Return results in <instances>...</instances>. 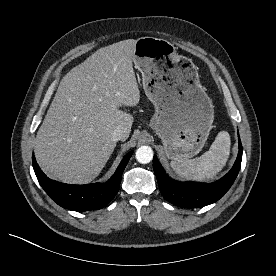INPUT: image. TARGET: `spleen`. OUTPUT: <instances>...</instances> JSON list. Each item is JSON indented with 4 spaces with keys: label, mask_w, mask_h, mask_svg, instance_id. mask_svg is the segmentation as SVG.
<instances>
[{
    "label": "spleen",
    "mask_w": 276,
    "mask_h": 276,
    "mask_svg": "<svg viewBox=\"0 0 276 276\" xmlns=\"http://www.w3.org/2000/svg\"><path fill=\"white\" fill-rule=\"evenodd\" d=\"M230 135L221 131L210 149L200 157L190 160H173L170 165L181 177L193 180L213 178L226 164L230 154Z\"/></svg>",
    "instance_id": "3e777b00"
}]
</instances>
